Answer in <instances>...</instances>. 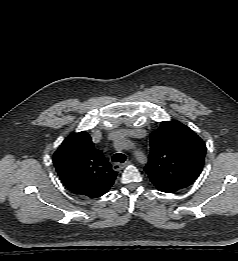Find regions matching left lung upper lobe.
I'll return each instance as SVG.
<instances>
[{"label":"left lung upper lobe","instance_id":"obj_1","mask_svg":"<svg viewBox=\"0 0 238 261\" xmlns=\"http://www.w3.org/2000/svg\"><path fill=\"white\" fill-rule=\"evenodd\" d=\"M150 147L144 170L162 192H176L188 187L203 169L205 143L178 121L162 122L150 135Z\"/></svg>","mask_w":238,"mask_h":261}]
</instances>
